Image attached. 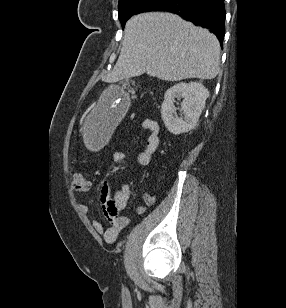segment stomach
<instances>
[{
    "instance_id": "1",
    "label": "stomach",
    "mask_w": 286,
    "mask_h": 308,
    "mask_svg": "<svg viewBox=\"0 0 286 308\" xmlns=\"http://www.w3.org/2000/svg\"><path fill=\"white\" fill-rule=\"evenodd\" d=\"M128 97L124 85H109L101 89L94 109H88L86 122H82L85 149H100V142H109L111 130L120 124L122 110L127 109Z\"/></svg>"
}]
</instances>
